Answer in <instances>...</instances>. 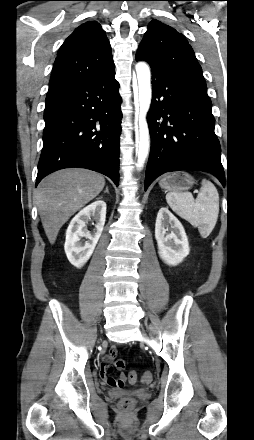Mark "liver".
<instances>
[{
	"instance_id": "liver-1",
	"label": "liver",
	"mask_w": 254,
	"mask_h": 440,
	"mask_svg": "<svg viewBox=\"0 0 254 440\" xmlns=\"http://www.w3.org/2000/svg\"><path fill=\"white\" fill-rule=\"evenodd\" d=\"M105 179L87 169L69 168L45 177L35 192L36 204L48 240L54 244L60 228L103 190Z\"/></svg>"
}]
</instances>
